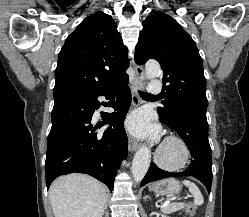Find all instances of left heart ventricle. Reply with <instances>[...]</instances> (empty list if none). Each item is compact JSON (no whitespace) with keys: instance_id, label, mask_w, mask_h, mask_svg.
Here are the masks:
<instances>
[{"instance_id":"obj_1","label":"left heart ventricle","mask_w":249,"mask_h":217,"mask_svg":"<svg viewBox=\"0 0 249 217\" xmlns=\"http://www.w3.org/2000/svg\"><path fill=\"white\" fill-rule=\"evenodd\" d=\"M176 154V150L173 147H168L166 150V156L169 158L174 157Z\"/></svg>"}]
</instances>
